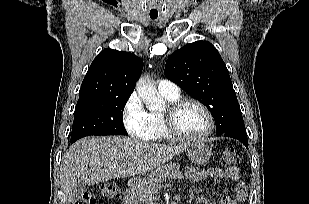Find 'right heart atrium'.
<instances>
[{
	"label": "right heart atrium",
	"instance_id": "d8ad5b80",
	"mask_svg": "<svg viewBox=\"0 0 309 204\" xmlns=\"http://www.w3.org/2000/svg\"><path fill=\"white\" fill-rule=\"evenodd\" d=\"M122 118L127 132L137 138L148 139L151 127L147 111L136 93H132L124 103Z\"/></svg>",
	"mask_w": 309,
	"mask_h": 204
}]
</instances>
